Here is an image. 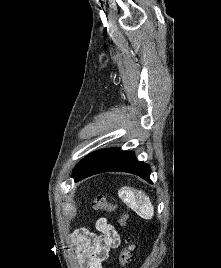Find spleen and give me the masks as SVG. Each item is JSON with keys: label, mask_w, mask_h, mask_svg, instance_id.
<instances>
[{"label": "spleen", "mask_w": 221, "mask_h": 268, "mask_svg": "<svg viewBox=\"0 0 221 268\" xmlns=\"http://www.w3.org/2000/svg\"><path fill=\"white\" fill-rule=\"evenodd\" d=\"M120 199L140 217L151 219L154 215V207L150 199L142 192L130 187H122L118 191Z\"/></svg>", "instance_id": "3e777b00"}]
</instances>
